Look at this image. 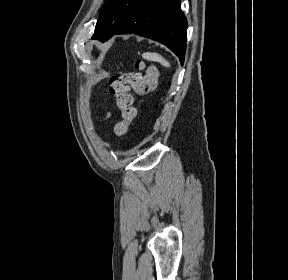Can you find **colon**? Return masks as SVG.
<instances>
[{
	"label": "colon",
	"instance_id": "obj_1",
	"mask_svg": "<svg viewBox=\"0 0 288 280\" xmlns=\"http://www.w3.org/2000/svg\"><path fill=\"white\" fill-rule=\"evenodd\" d=\"M138 69L139 71L119 74L110 79V93L115 97L116 106L121 113V120L114 126V133L118 137L127 133L136 117L130 89L138 94H148L157 87L158 70L155 66H145L140 62Z\"/></svg>",
	"mask_w": 288,
	"mask_h": 280
}]
</instances>
